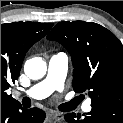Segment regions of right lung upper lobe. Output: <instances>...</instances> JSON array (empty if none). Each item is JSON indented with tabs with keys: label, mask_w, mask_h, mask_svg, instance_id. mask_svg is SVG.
<instances>
[{
	"label": "right lung upper lobe",
	"mask_w": 123,
	"mask_h": 123,
	"mask_svg": "<svg viewBox=\"0 0 123 123\" xmlns=\"http://www.w3.org/2000/svg\"><path fill=\"white\" fill-rule=\"evenodd\" d=\"M52 26V23L33 22L1 24V104L18 102L7 90L18 78L26 52Z\"/></svg>",
	"instance_id": "1"
}]
</instances>
